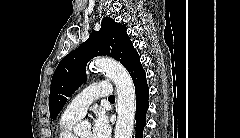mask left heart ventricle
I'll return each mask as SVG.
<instances>
[{
    "label": "left heart ventricle",
    "instance_id": "1",
    "mask_svg": "<svg viewBox=\"0 0 240 138\" xmlns=\"http://www.w3.org/2000/svg\"><path fill=\"white\" fill-rule=\"evenodd\" d=\"M78 138H91V132L85 131L78 134Z\"/></svg>",
    "mask_w": 240,
    "mask_h": 138
}]
</instances>
